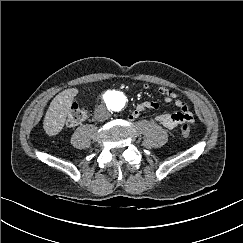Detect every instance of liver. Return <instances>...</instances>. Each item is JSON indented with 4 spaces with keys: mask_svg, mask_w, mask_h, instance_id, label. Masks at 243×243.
Wrapping results in <instances>:
<instances>
[{
    "mask_svg": "<svg viewBox=\"0 0 243 243\" xmlns=\"http://www.w3.org/2000/svg\"><path fill=\"white\" fill-rule=\"evenodd\" d=\"M77 93L78 90L75 88L66 89L53 98L43 122V128L46 134L53 136L62 130L73 99Z\"/></svg>",
    "mask_w": 243,
    "mask_h": 243,
    "instance_id": "liver-1",
    "label": "liver"
}]
</instances>
